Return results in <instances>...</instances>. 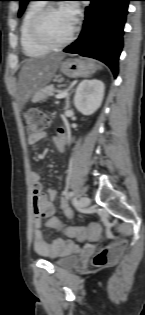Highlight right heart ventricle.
<instances>
[{
  "instance_id": "right-heart-ventricle-1",
  "label": "right heart ventricle",
  "mask_w": 145,
  "mask_h": 315,
  "mask_svg": "<svg viewBox=\"0 0 145 315\" xmlns=\"http://www.w3.org/2000/svg\"><path fill=\"white\" fill-rule=\"evenodd\" d=\"M44 6L42 3L30 4L26 9L20 25V43L25 55L38 57L46 54L48 49L38 45L30 35V24L35 14Z\"/></svg>"
}]
</instances>
